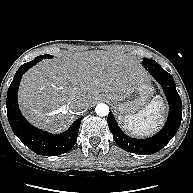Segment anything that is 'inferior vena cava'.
I'll return each instance as SVG.
<instances>
[{
	"label": "inferior vena cava",
	"mask_w": 193,
	"mask_h": 193,
	"mask_svg": "<svg viewBox=\"0 0 193 193\" xmlns=\"http://www.w3.org/2000/svg\"><path fill=\"white\" fill-rule=\"evenodd\" d=\"M85 107V103L81 100H74L70 103L71 109H83Z\"/></svg>",
	"instance_id": "1"
}]
</instances>
